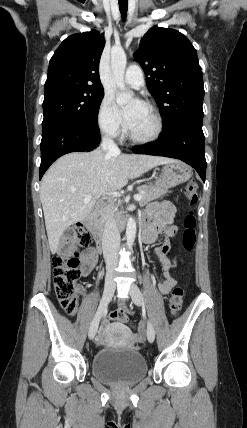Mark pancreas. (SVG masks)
<instances>
[{"label":"pancreas","mask_w":247,"mask_h":428,"mask_svg":"<svg viewBox=\"0 0 247 428\" xmlns=\"http://www.w3.org/2000/svg\"><path fill=\"white\" fill-rule=\"evenodd\" d=\"M138 192L141 194L142 199L139 201L140 206L147 205L150 201L158 199L162 197L164 194L168 192L166 188L154 185H141L137 187ZM119 204L116 206V211L118 209ZM122 215V211H117L116 216L119 218ZM101 225L104 223V217L99 219Z\"/></svg>","instance_id":"cf45deb5"}]
</instances>
